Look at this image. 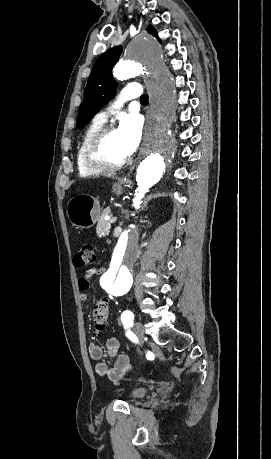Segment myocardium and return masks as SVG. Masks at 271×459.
Returning <instances> with one entry per match:
<instances>
[{"mask_svg": "<svg viewBox=\"0 0 271 459\" xmlns=\"http://www.w3.org/2000/svg\"><path fill=\"white\" fill-rule=\"evenodd\" d=\"M116 130L114 125L100 128L86 142L83 155L85 162L93 168L109 170L121 167L130 157L129 154L122 157H113L107 150L106 143Z\"/></svg>", "mask_w": 271, "mask_h": 459, "instance_id": "obj_1", "label": "myocardium"}]
</instances>
